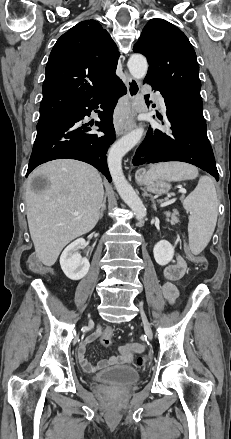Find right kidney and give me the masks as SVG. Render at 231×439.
Segmentation results:
<instances>
[{"mask_svg":"<svg viewBox=\"0 0 231 439\" xmlns=\"http://www.w3.org/2000/svg\"><path fill=\"white\" fill-rule=\"evenodd\" d=\"M86 247V241L79 238L68 245L60 256V265L64 274L71 280L82 279L89 271L90 263L82 258L80 249Z\"/></svg>","mask_w":231,"mask_h":439,"instance_id":"obj_1","label":"right kidney"}]
</instances>
